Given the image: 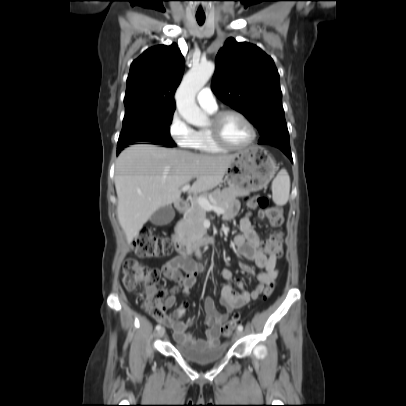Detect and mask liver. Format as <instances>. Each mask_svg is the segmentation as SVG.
<instances>
[{
  "instance_id": "1",
  "label": "liver",
  "mask_w": 406,
  "mask_h": 406,
  "mask_svg": "<svg viewBox=\"0 0 406 406\" xmlns=\"http://www.w3.org/2000/svg\"><path fill=\"white\" fill-rule=\"evenodd\" d=\"M234 155H204L179 149L136 144L123 150L115 164L117 218L127 242L161 207L177 202L181 188L196 179L189 193L220 184Z\"/></svg>"
}]
</instances>
